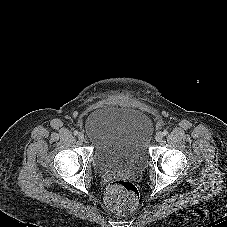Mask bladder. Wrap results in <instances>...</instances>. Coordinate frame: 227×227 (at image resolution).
I'll use <instances>...</instances> for the list:
<instances>
[{
	"label": "bladder",
	"mask_w": 227,
	"mask_h": 227,
	"mask_svg": "<svg viewBox=\"0 0 227 227\" xmlns=\"http://www.w3.org/2000/svg\"><path fill=\"white\" fill-rule=\"evenodd\" d=\"M151 127L149 114L136 107L107 104L91 111L84 130L95 170L106 175L143 166Z\"/></svg>",
	"instance_id": "obj_1"
}]
</instances>
